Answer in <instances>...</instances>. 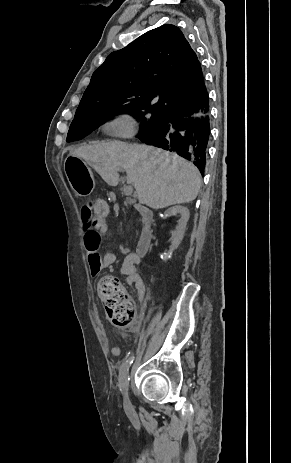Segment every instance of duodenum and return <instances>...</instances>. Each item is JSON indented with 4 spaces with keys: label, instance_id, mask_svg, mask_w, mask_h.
<instances>
[{
    "label": "duodenum",
    "instance_id": "410a0bca",
    "mask_svg": "<svg viewBox=\"0 0 291 463\" xmlns=\"http://www.w3.org/2000/svg\"><path fill=\"white\" fill-rule=\"evenodd\" d=\"M134 212L137 215L141 214L144 222V227L136 248L137 254L141 256L147 253L153 237V231L151 229V224L153 222V211L151 209H147L144 203H138L134 209Z\"/></svg>",
    "mask_w": 291,
    "mask_h": 463
}]
</instances>
